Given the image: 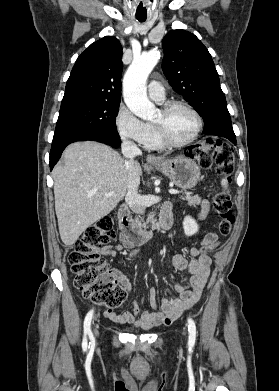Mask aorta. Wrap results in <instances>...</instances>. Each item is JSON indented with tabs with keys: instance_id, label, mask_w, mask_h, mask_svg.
<instances>
[{
	"instance_id": "1",
	"label": "aorta",
	"mask_w": 279,
	"mask_h": 391,
	"mask_svg": "<svg viewBox=\"0 0 279 391\" xmlns=\"http://www.w3.org/2000/svg\"><path fill=\"white\" fill-rule=\"evenodd\" d=\"M160 52L157 48L135 57L123 79L124 101L132 113L147 120L154 116L155 105L147 98L146 80L158 63Z\"/></svg>"
}]
</instances>
